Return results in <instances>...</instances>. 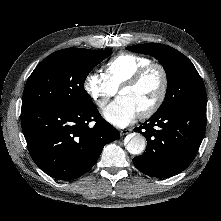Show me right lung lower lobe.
<instances>
[{
  "label": "right lung lower lobe",
  "mask_w": 221,
  "mask_h": 221,
  "mask_svg": "<svg viewBox=\"0 0 221 221\" xmlns=\"http://www.w3.org/2000/svg\"><path fill=\"white\" fill-rule=\"evenodd\" d=\"M91 121H95L92 127ZM21 124L35 164L59 180L89 171L103 147L120 136L94 103L81 108L22 107Z\"/></svg>",
  "instance_id": "obj_1"
}]
</instances>
